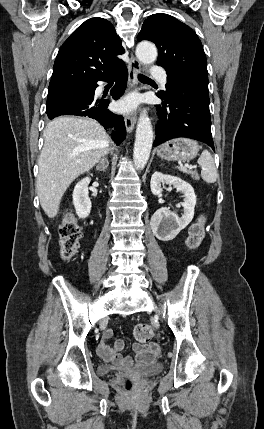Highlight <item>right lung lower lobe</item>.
I'll return each instance as SVG.
<instances>
[{"label": "right lung lower lobe", "instance_id": "98d812e1", "mask_svg": "<svg viewBox=\"0 0 264 429\" xmlns=\"http://www.w3.org/2000/svg\"><path fill=\"white\" fill-rule=\"evenodd\" d=\"M127 77L128 71L122 61L107 74L92 82L90 91L66 97L47 108L48 118L53 119L60 115H76L96 119L105 129L113 127L116 130L112 133V139L120 144L126 136L124 119L121 115L114 114L107 109L108 99L95 98L94 91L98 86L97 81L115 79L116 84L111 90V94L114 99H118L126 88Z\"/></svg>", "mask_w": 264, "mask_h": 429}]
</instances>
